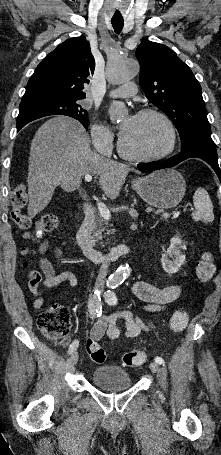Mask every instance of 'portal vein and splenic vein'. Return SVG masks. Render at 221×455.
<instances>
[{"mask_svg": "<svg viewBox=\"0 0 221 455\" xmlns=\"http://www.w3.org/2000/svg\"><path fill=\"white\" fill-rule=\"evenodd\" d=\"M85 181L86 182H90L92 181V175L91 174H86L85 175ZM97 208H98V211L100 213V215L105 219V220H110L111 218V213L109 211V209L106 207V205L102 202H98L97 203ZM180 215V211H176L172 214V219H176L178 216ZM169 215H166L165 218H168Z\"/></svg>", "mask_w": 221, "mask_h": 455, "instance_id": "18ae733b", "label": "portal vein and splenic vein"}]
</instances>
